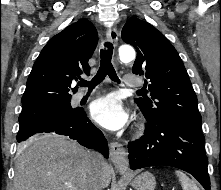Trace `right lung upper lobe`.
<instances>
[{
  "label": "right lung upper lobe",
  "mask_w": 221,
  "mask_h": 190,
  "mask_svg": "<svg viewBox=\"0 0 221 190\" xmlns=\"http://www.w3.org/2000/svg\"><path fill=\"white\" fill-rule=\"evenodd\" d=\"M98 42L97 31L81 19L52 37L42 49L28 77L23 107L71 99L69 88L81 74L89 75L91 58ZM77 87L73 88L75 92Z\"/></svg>",
  "instance_id": "1"
}]
</instances>
